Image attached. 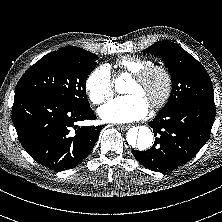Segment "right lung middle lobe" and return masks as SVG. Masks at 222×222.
<instances>
[{
  "label": "right lung middle lobe",
  "instance_id": "obj_1",
  "mask_svg": "<svg viewBox=\"0 0 222 222\" xmlns=\"http://www.w3.org/2000/svg\"><path fill=\"white\" fill-rule=\"evenodd\" d=\"M97 59V55L75 46L51 52L24 73L17 83L15 95L40 94L88 107L85 85Z\"/></svg>",
  "mask_w": 222,
  "mask_h": 222
}]
</instances>
